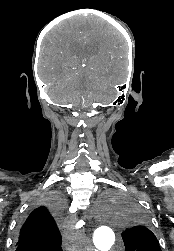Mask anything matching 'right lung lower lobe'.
Segmentation results:
<instances>
[{
    "label": "right lung lower lobe",
    "mask_w": 174,
    "mask_h": 251,
    "mask_svg": "<svg viewBox=\"0 0 174 251\" xmlns=\"http://www.w3.org/2000/svg\"><path fill=\"white\" fill-rule=\"evenodd\" d=\"M30 250H33V247L28 245H18L16 247V251H30Z\"/></svg>",
    "instance_id": "right-lung-lower-lobe-1"
}]
</instances>
